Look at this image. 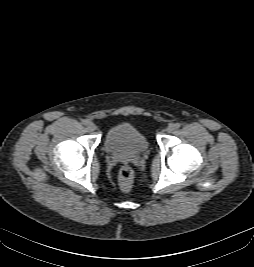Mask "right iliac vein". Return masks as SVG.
<instances>
[{
	"label": "right iliac vein",
	"mask_w": 254,
	"mask_h": 267,
	"mask_svg": "<svg viewBox=\"0 0 254 267\" xmlns=\"http://www.w3.org/2000/svg\"><path fill=\"white\" fill-rule=\"evenodd\" d=\"M86 126H87V129H88L89 131H94V130H96V126H95V124L92 123V122H87Z\"/></svg>",
	"instance_id": "obj_1"
}]
</instances>
